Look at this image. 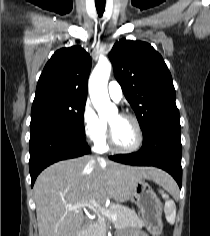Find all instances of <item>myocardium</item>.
<instances>
[{"label": "myocardium", "mask_w": 210, "mask_h": 236, "mask_svg": "<svg viewBox=\"0 0 210 236\" xmlns=\"http://www.w3.org/2000/svg\"><path fill=\"white\" fill-rule=\"evenodd\" d=\"M119 116H121L123 118H127L134 123L135 128H136V133H137L136 142L134 143L133 146L128 147V148H122V147L117 146L113 140L112 128H111V125L109 124L108 137H107L108 147L112 151L117 152V153H121V154L133 153V152L137 151L143 144L144 133H143L141 123H140L139 119L131 113H121Z\"/></svg>", "instance_id": "obj_1"}]
</instances>
